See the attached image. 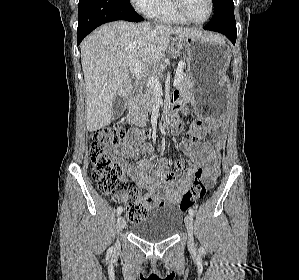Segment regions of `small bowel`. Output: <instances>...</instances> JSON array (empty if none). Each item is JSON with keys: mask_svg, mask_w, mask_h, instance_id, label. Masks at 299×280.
I'll use <instances>...</instances> for the list:
<instances>
[{"mask_svg": "<svg viewBox=\"0 0 299 280\" xmlns=\"http://www.w3.org/2000/svg\"><path fill=\"white\" fill-rule=\"evenodd\" d=\"M171 127L173 132H180L182 124L178 116L173 118ZM201 128L202 133L192 136L194 141L186 136L180 142V149L188 155L190 161V166L180 176L167 170L165 160L156 158L151 146L137 137H129L111 149L113 154L138 163V166L133 167L119 160L131 179L147 191L144 199L148 208L179 206L183 197L190 191L198 168H202L205 181L211 182L212 185L215 183L220 173L224 127L217 120H209L201 124ZM208 133L212 134L211 141H202ZM141 154L147 155L151 161L142 159Z\"/></svg>", "mask_w": 299, "mask_h": 280, "instance_id": "1", "label": "small bowel"}]
</instances>
